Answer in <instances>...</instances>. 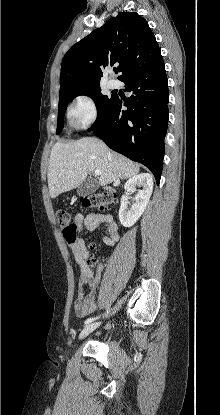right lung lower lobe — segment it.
I'll list each match as a JSON object with an SVG mask.
<instances>
[{
	"mask_svg": "<svg viewBox=\"0 0 220 415\" xmlns=\"http://www.w3.org/2000/svg\"><path fill=\"white\" fill-rule=\"evenodd\" d=\"M121 81L132 95L124 103L114 96L105 119L93 133L111 149L148 167L159 184L169 102L164 62ZM122 105L127 110H122Z\"/></svg>",
	"mask_w": 220,
	"mask_h": 415,
	"instance_id": "obj_1",
	"label": "right lung lower lobe"
}]
</instances>
